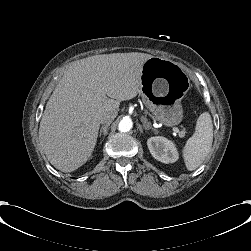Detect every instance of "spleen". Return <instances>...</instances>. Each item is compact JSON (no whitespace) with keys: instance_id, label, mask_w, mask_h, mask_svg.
I'll use <instances>...</instances> for the list:
<instances>
[{"instance_id":"spleen-1","label":"spleen","mask_w":251,"mask_h":251,"mask_svg":"<svg viewBox=\"0 0 251 251\" xmlns=\"http://www.w3.org/2000/svg\"><path fill=\"white\" fill-rule=\"evenodd\" d=\"M212 142V119L208 112H204L197 119L195 133L183 148V158L189 171L197 169L203 163L210 152Z\"/></svg>"}]
</instances>
